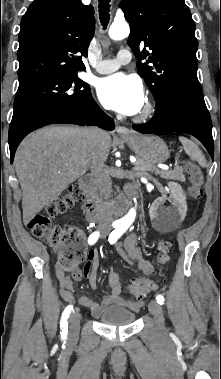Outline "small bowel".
I'll use <instances>...</instances> for the list:
<instances>
[{
	"mask_svg": "<svg viewBox=\"0 0 221 379\" xmlns=\"http://www.w3.org/2000/svg\"><path fill=\"white\" fill-rule=\"evenodd\" d=\"M140 231L145 232L146 227L140 226ZM118 252L129 263L136 265L139 270L145 275H151L154 271L152 263L146 258L144 252L140 249L137 242L135 232L128 234L124 242L118 247ZM99 266V253L96 249H91L88 252V262L83 267H77L72 272V277L65 275L64 271L56 268V276L60 287V292L64 300L68 302H76L90 309L93 316L98 317L108 306L118 304L128 307L132 310H137L141 306V302H133L121 297L122 285L118 272L113 266L109 267L107 273V285L110 289L109 294L103 297L101 302L92 298L81 296L76 297L73 294V281H79L83 276L87 277L89 284L93 290L97 289L96 271Z\"/></svg>",
	"mask_w": 221,
	"mask_h": 379,
	"instance_id": "1",
	"label": "small bowel"
}]
</instances>
